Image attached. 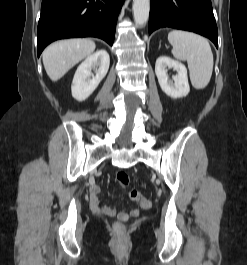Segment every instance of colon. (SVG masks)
<instances>
[{
  "instance_id": "obj_1",
  "label": "colon",
  "mask_w": 247,
  "mask_h": 265,
  "mask_svg": "<svg viewBox=\"0 0 247 265\" xmlns=\"http://www.w3.org/2000/svg\"><path fill=\"white\" fill-rule=\"evenodd\" d=\"M115 180L121 187H126L129 184L130 178H129L128 173H126L125 171H119L116 174ZM129 197L131 200L138 202L140 206L144 209H149L152 206V202L149 199L143 197L135 189H132L129 192ZM115 229L118 232H122L124 230V224L121 222H117L115 224Z\"/></svg>"
}]
</instances>
